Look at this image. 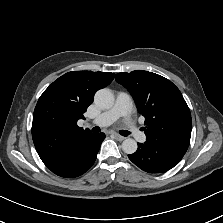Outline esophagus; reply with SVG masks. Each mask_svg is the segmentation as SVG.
Wrapping results in <instances>:
<instances>
[{
    "label": "esophagus",
    "instance_id": "1",
    "mask_svg": "<svg viewBox=\"0 0 223 223\" xmlns=\"http://www.w3.org/2000/svg\"><path fill=\"white\" fill-rule=\"evenodd\" d=\"M115 139L118 140V141H123V140L125 139V137L116 134V135H115Z\"/></svg>",
    "mask_w": 223,
    "mask_h": 223
}]
</instances>
